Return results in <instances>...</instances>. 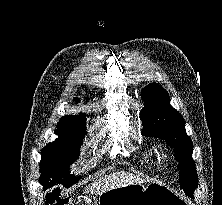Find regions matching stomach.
Here are the masks:
<instances>
[{
	"label": "stomach",
	"instance_id": "stomach-1",
	"mask_svg": "<svg viewBox=\"0 0 222 205\" xmlns=\"http://www.w3.org/2000/svg\"><path fill=\"white\" fill-rule=\"evenodd\" d=\"M98 205H190L170 187L160 182L130 184L99 195Z\"/></svg>",
	"mask_w": 222,
	"mask_h": 205
}]
</instances>
